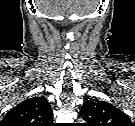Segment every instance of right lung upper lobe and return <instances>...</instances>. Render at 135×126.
Returning <instances> with one entry per match:
<instances>
[{
	"mask_svg": "<svg viewBox=\"0 0 135 126\" xmlns=\"http://www.w3.org/2000/svg\"><path fill=\"white\" fill-rule=\"evenodd\" d=\"M53 119L51 106L46 98L37 96L26 99L8 111L0 126H50Z\"/></svg>",
	"mask_w": 135,
	"mask_h": 126,
	"instance_id": "right-lung-upper-lobe-1",
	"label": "right lung upper lobe"
}]
</instances>
